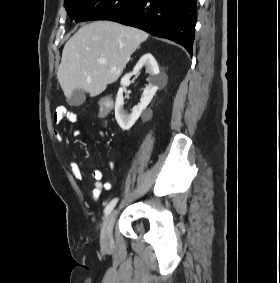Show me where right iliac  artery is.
Instances as JSON below:
<instances>
[{"label": "right iliac artery", "instance_id": "1", "mask_svg": "<svg viewBox=\"0 0 280 283\" xmlns=\"http://www.w3.org/2000/svg\"><path fill=\"white\" fill-rule=\"evenodd\" d=\"M117 201H118V198H115L112 201H110V203L105 208V216H108L111 213V211L117 204Z\"/></svg>", "mask_w": 280, "mask_h": 283}]
</instances>
